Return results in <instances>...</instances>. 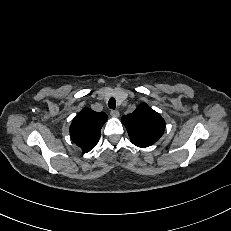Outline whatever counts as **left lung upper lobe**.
Returning a JSON list of instances; mask_svg holds the SVG:
<instances>
[{"label": "left lung upper lobe", "mask_w": 231, "mask_h": 231, "mask_svg": "<svg viewBox=\"0 0 231 231\" xmlns=\"http://www.w3.org/2000/svg\"><path fill=\"white\" fill-rule=\"evenodd\" d=\"M131 138V142L138 147H148L154 144L165 130L163 118L146 103L121 119Z\"/></svg>", "instance_id": "5c2ea615"}]
</instances>
